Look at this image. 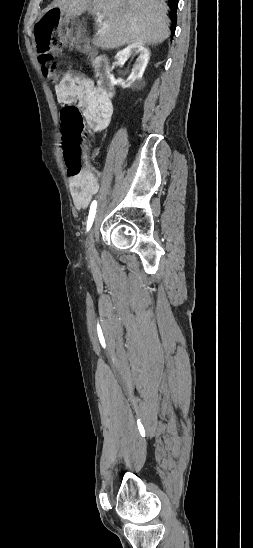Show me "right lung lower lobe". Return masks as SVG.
<instances>
[{
  "label": "right lung lower lobe",
  "mask_w": 253,
  "mask_h": 548,
  "mask_svg": "<svg viewBox=\"0 0 253 548\" xmlns=\"http://www.w3.org/2000/svg\"><path fill=\"white\" fill-rule=\"evenodd\" d=\"M171 4V8L173 9V15H172V21L174 22V29L176 26V10L178 5V0H168Z\"/></svg>",
  "instance_id": "right-lung-lower-lobe-1"
}]
</instances>
